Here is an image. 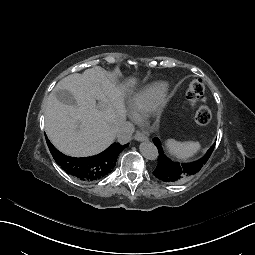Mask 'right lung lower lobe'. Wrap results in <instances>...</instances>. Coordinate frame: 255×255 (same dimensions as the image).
I'll list each match as a JSON object with an SVG mask.
<instances>
[{
  "mask_svg": "<svg viewBox=\"0 0 255 255\" xmlns=\"http://www.w3.org/2000/svg\"><path fill=\"white\" fill-rule=\"evenodd\" d=\"M98 168L96 163L91 160H86L83 163V179L86 181H91L94 179V170Z\"/></svg>",
  "mask_w": 255,
  "mask_h": 255,
  "instance_id": "obj_1",
  "label": "right lung lower lobe"
}]
</instances>
